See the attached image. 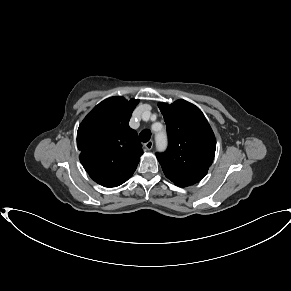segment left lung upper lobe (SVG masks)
<instances>
[{
    "label": "left lung upper lobe",
    "mask_w": 291,
    "mask_h": 291,
    "mask_svg": "<svg viewBox=\"0 0 291 291\" xmlns=\"http://www.w3.org/2000/svg\"><path fill=\"white\" fill-rule=\"evenodd\" d=\"M168 133V149L157 159L165 176L177 186L199 182L208 172L216 149L214 133L204 114L195 105L177 100L159 103Z\"/></svg>",
    "instance_id": "1"
}]
</instances>
